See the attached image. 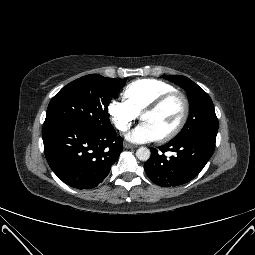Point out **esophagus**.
I'll use <instances>...</instances> for the list:
<instances>
[{"label": "esophagus", "instance_id": "esophagus-1", "mask_svg": "<svg viewBox=\"0 0 255 255\" xmlns=\"http://www.w3.org/2000/svg\"><path fill=\"white\" fill-rule=\"evenodd\" d=\"M123 147H124L125 149H133V148H135L134 145L129 144V143H124V144H123Z\"/></svg>", "mask_w": 255, "mask_h": 255}]
</instances>
